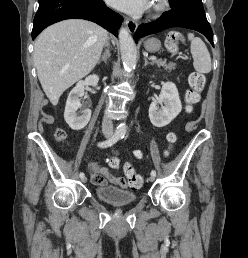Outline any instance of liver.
<instances>
[{
    "label": "liver",
    "mask_w": 248,
    "mask_h": 258,
    "mask_svg": "<svg viewBox=\"0 0 248 258\" xmlns=\"http://www.w3.org/2000/svg\"><path fill=\"white\" fill-rule=\"evenodd\" d=\"M107 39L102 27L81 19L58 22L38 36L34 64L52 105H57L66 89L93 70Z\"/></svg>",
    "instance_id": "6515ba94"
}]
</instances>
